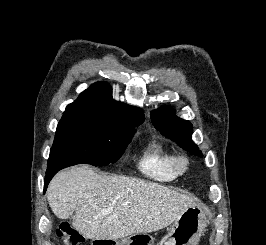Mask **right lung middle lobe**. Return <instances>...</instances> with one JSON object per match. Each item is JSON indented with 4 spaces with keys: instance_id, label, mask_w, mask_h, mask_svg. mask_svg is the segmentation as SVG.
I'll list each match as a JSON object with an SVG mask.
<instances>
[{
    "instance_id": "dd1d6c3e",
    "label": "right lung middle lobe",
    "mask_w": 266,
    "mask_h": 245,
    "mask_svg": "<svg viewBox=\"0 0 266 245\" xmlns=\"http://www.w3.org/2000/svg\"><path fill=\"white\" fill-rule=\"evenodd\" d=\"M136 126L92 115L64 116L57 126L47 170L115 162L131 141Z\"/></svg>"
}]
</instances>
